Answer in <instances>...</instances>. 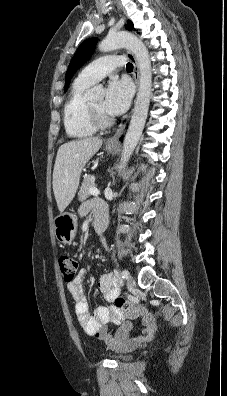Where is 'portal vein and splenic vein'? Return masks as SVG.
I'll use <instances>...</instances> for the list:
<instances>
[{"label":"portal vein and splenic vein","instance_id":"18ae733b","mask_svg":"<svg viewBox=\"0 0 227 396\" xmlns=\"http://www.w3.org/2000/svg\"><path fill=\"white\" fill-rule=\"evenodd\" d=\"M89 193H90L91 195L97 196V195L100 194V191H99L97 188L93 187V188H90V189H89Z\"/></svg>","mask_w":227,"mask_h":396}]
</instances>
